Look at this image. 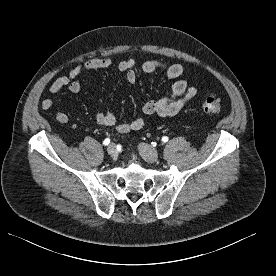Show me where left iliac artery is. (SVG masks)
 <instances>
[{"label": "left iliac artery", "instance_id": "obj_1", "mask_svg": "<svg viewBox=\"0 0 276 276\" xmlns=\"http://www.w3.org/2000/svg\"><path fill=\"white\" fill-rule=\"evenodd\" d=\"M168 141V137L167 136H163L162 137V142H167Z\"/></svg>", "mask_w": 276, "mask_h": 276}]
</instances>
